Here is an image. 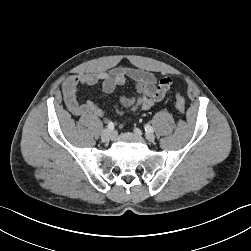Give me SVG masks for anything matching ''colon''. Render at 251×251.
Returning <instances> with one entry per match:
<instances>
[{
  "label": "colon",
  "instance_id": "5ec220e1",
  "mask_svg": "<svg viewBox=\"0 0 251 251\" xmlns=\"http://www.w3.org/2000/svg\"><path fill=\"white\" fill-rule=\"evenodd\" d=\"M175 105L180 114H184L186 111L185 99L180 94L175 97Z\"/></svg>",
  "mask_w": 251,
  "mask_h": 251
}]
</instances>
